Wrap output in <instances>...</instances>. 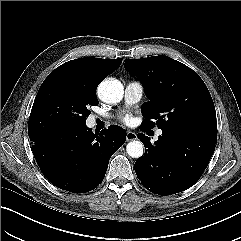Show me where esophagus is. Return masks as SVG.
<instances>
[{
	"instance_id": "obj_1",
	"label": "esophagus",
	"mask_w": 241,
	"mask_h": 241,
	"mask_svg": "<svg viewBox=\"0 0 241 241\" xmlns=\"http://www.w3.org/2000/svg\"><path fill=\"white\" fill-rule=\"evenodd\" d=\"M137 139V135L136 133L132 132V131H128L126 134V140L127 141H132V140H136Z\"/></svg>"
}]
</instances>
